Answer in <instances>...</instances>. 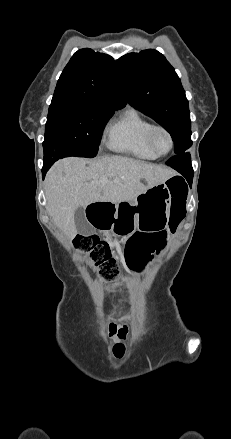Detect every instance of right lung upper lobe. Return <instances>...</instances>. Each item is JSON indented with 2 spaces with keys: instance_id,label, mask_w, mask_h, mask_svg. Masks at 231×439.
<instances>
[{
  "instance_id": "right-lung-upper-lobe-1",
  "label": "right lung upper lobe",
  "mask_w": 231,
  "mask_h": 439,
  "mask_svg": "<svg viewBox=\"0 0 231 439\" xmlns=\"http://www.w3.org/2000/svg\"><path fill=\"white\" fill-rule=\"evenodd\" d=\"M126 103L113 58L84 48L61 73L50 107L89 104L122 108Z\"/></svg>"
}]
</instances>
